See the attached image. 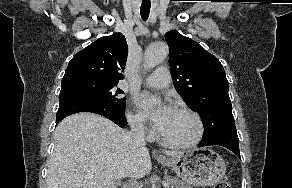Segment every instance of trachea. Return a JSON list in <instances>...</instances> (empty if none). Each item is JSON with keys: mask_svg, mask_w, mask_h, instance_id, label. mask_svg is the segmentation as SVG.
<instances>
[{"mask_svg": "<svg viewBox=\"0 0 292 188\" xmlns=\"http://www.w3.org/2000/svg\"><path fill=\"white\" fill-rule=\"evenodd\" d=\"M150 7H151L150 3H142L141 5L140 14L144 21H146L149 17Z\"/></svg>", "mask_w": 292, "mask_h": 188, "instance_id": "trachea-1", "label": "trachea"}]
</instances>
